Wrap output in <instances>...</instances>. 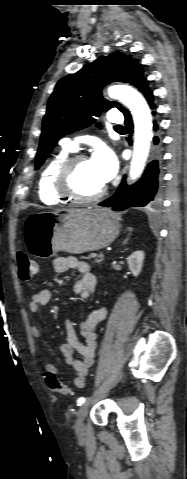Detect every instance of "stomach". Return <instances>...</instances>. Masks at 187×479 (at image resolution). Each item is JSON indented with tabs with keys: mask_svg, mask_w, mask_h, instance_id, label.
<instances>
[{
	"mask_svg": "<svg viewBox=\"0 0 187 479\" xmlns=\"http://www.w3.org/2000/svg\"><path fill=\"white\" fill-rule=\"evenodd\" d=\"M119 227L108 209L96 206L35 212L24 222V239L32 256L46 259L59 251L102 249L116 239Z\"/></svg>",
	"mask_w": 187,
	"mask_h": 479,
	"instance_id": "stomach-1",
	"label": "stomach"
}]
</instances>
